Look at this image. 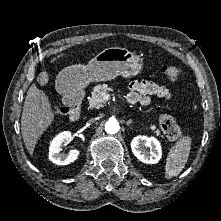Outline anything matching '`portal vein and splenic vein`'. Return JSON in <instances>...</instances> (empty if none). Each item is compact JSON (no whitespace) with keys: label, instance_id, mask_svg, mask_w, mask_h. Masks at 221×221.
<instances>
[{"label":"portal vein and splenic vein","instance_id":"obj_1","mask_svg":"<svg viewBox=\"0 0 221 221\" xmlns=\"http://www.w3.org/2000/svg\"><path fill=\"white\" fill-rule=\"evenodd\" d=\"M109 99H110V95L109 94H104L103 101H108Z\"/></svg>","mask_w":221,"mask_h":221}]
</instances>
